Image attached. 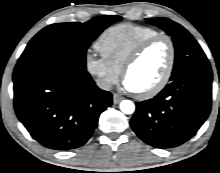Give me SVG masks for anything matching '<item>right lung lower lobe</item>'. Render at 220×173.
<instances>
[{"instance_id": "right-lung-lower-lobe-1", "label": "right lung lower lobe", "mask_w": 220, "mask_h": 173, "mask_svg": "<svg viewBox=\"0 0 220 173\" xmlns=\"http://www.w3.org/2000/svg\"><path fill=\"white\" fill-rule=\"evenodd\" d=\"M13 81L19 120L50 149L84 145L112 105L111 93L99 89L85 68L59 58L18 63Z\"/></svg>"}]
</instances>
